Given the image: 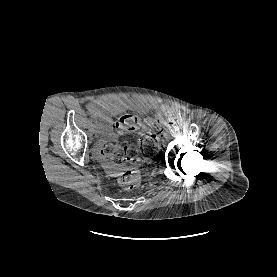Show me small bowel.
Masks as SVG:
<instances>
[{"instance_id": "c3829d8e", "label": "small bowel", "mask_w": 277, "mask_h": 277, "mask_svg": "<svg viewBox=\"0 0 277 277\" xmlns=\"http://www.w3.org/2000/svg\"><path fill=\"white\" fill-rule=\"evenodd\" d=\"M122 106L123 103L121 101L112 102L106 99H96L88 104V109L90 114L96 120L97 125L100 127L101 132L106 134L108 133L110 127L111 116L116 114ZM138 107L142 112H146L148 109L154 108L157 110L159 115H167L174 111L173 108L167 104L150 105L144 102H139ZM154 121V118H148L146 123L148 125H152ZM101 148L99 149L100 155ZM105 168L110 174L115 175L117 173L115 165L111 162H106Z\"/></svg>"}]
</instances>
